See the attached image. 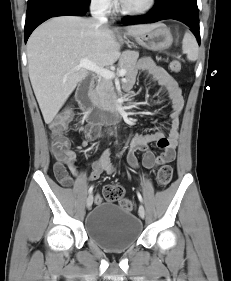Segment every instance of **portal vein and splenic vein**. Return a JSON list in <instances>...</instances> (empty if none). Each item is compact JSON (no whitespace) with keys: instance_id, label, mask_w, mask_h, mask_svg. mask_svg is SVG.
I'll list each match as a JSON object with an SVG mask.
<instances>
[{"instance_id":"portal-vein-and-splenic-vein-1","label":"portal vein and splenic vein","mask_w":231,"mask_h":281,"mask_svg":"<svg viewBox=\"0 0 231 281\" xmlns=\"http://www.w3.org/2000/svg\"><path fill=\"white\" fill-rule=\"evenodd\" d=\"M79 68H85L88 69L90 71H93L99 75H101L102 77L106 78V79H113L115 77V73L105 69L103 67H99L98 65H96L95 63L89 61L88 59H81L80 64L78 66ZM126 74V70L125 69H121L118 71V76L123 77Z\"/></svg>"}]
</instances>
